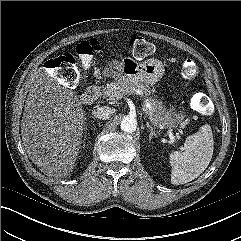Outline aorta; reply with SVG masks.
Listing matches in <instances>:
<instances>
[{
    "label": "aorta",
    "mask_w": 241,
    "mask_h": 241,
    "mask_svg": "<svg viewBox=\"0 0 241 241\" xmlns=\"http://www.w3.org/2000/svg\"><path fill=\"white\" fill-rule=\"evenodd\" d=\"M121 130L127 133H133L137 128V120L133 116H126L121 121Z\"/></svg>",
    "instance_id": "1"
}]
</instances>
